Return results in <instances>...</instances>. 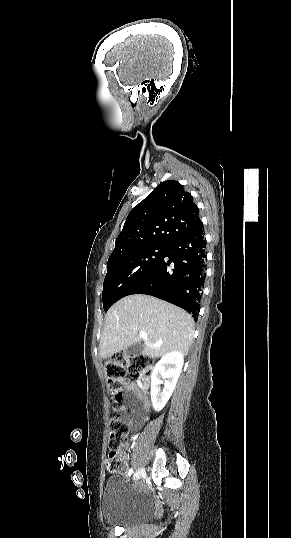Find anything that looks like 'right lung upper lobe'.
Wrapping results in <instances>:
<instances>
[{"instance_id":"obj_1","label":"right lung upper lobe","mask_w":291,"mask_h":538,"mask_svg":"<svg viewBox=\"0 0 291 538\" xmlns=\"http://www.w3.org/2000/svg\"><path fill=\"white\" fill-rule=\"evenodd\" d=\"M200 224L191 194L177 181H163L130 211L109 259L146 246L169 245Z\"/></svg>"}]
</instances>
